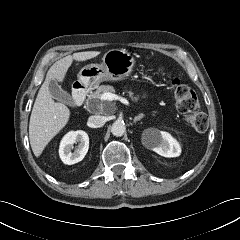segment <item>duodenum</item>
Wrapping results in <instances>:
<instances>
[{
	"instance_id": "duodenum-1",
	"label": "duodenum",
	"mask_w": 240,
	"mask_h": 240,
	"mask_svg": "<svg viewBox=\"0 0 240 240\" xmlns=\"http://www.w3.org/2000/svg\"><path fill=\"white\" fill-rule=\"evenodd\" d=\"M87 90L83 85H76L73 90L75 103L81 105L86 98Z\"/></svg>"
}]
</instances>
